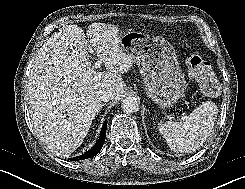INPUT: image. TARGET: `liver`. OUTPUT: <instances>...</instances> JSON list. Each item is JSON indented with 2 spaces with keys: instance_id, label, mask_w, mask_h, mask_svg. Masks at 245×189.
Here are the masks:
<instances>
[{
  "instance_id": "1",
  "label": "liver",
  "mask_w": 245,
  "mask_h": 189,
  "mask_svg": "<svg viewBox=\"0 0 245 189\" xmlns=\"http://www.w3.org/2000/svg\"><path fill=\"white\" fill-rule=\"evenodd\" d=\"M118 31L92 23L86 39L81 27L66 25L38 51L28 79L29 111L39 138L57 156H69L81 145L103 107V91L111 89L115 99L125 92L122 75L132 59L120 49ZM89 43L106 71L93 67Z\"/></svg>"
}]
</instances>
